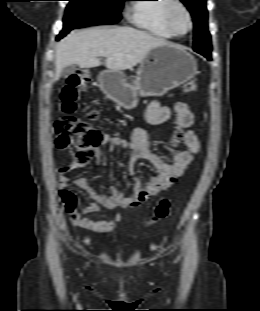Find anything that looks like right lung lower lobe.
Returning <instances> with one entry per match:
<instances>
[{
    "label": "right lung lower lobe",
    "instance_id": "obj_1",
    "mask_svg": "<svg viewBox=\"0 0 260 311\" xmlns=\"http://www.w3.org/2000/svg\"><path fill=\"white\" fill-rule=\"evenodd\" d=\"M69 32V31H68ZM67 32V33H68ZM67 33H64V32H61L58 37H57V40L61 39L63 36H65Z\"/></svg>",
    "mask_w": 260,
    "mask_h": 311
}]
</instances>
